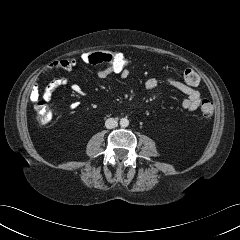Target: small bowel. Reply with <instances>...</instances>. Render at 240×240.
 Returning <instances> with one entry per match:
<instances>
[{"label":"small bowel","instance_id":"small-bowel-1","mask_svg":"<svg viewBox=\"0 0 240 240\" xmlns=\"http://www.w3.org/2000/svg\"><path fill=\"white\" fill-rule=\"evenodd\" d=\"M77 64H78V61L76 58L61 59V60L52 62L49 68L51 70H63V71L69 72L73 70L77 66ZM111 74H119L121 78L125 79L128 77L129 72L128 71L114 72L109 67L100 66V69L98 71L99 78H106ZM68 83H69V80L67 77L59 76L55 80H53L51 83H49L43 89L42 92H40L38 86L35 85L31 91L30 98L34 102L37 101L40 97L44 101L50 102L52 100L54 91L60 86L68 85ZM164 83L170 87H173L181 91L186 95V98L181 103V106L183 109L188 111H194L201 105L202 99L199 91L195 88V86H188L184 84L182 81L174 77L166 78ZM158 85H159L158 80L153 77H150L145 81V87L148 90H153L157 88ZM71 89L74 93L78 95H84L83 89L78 84H72ZM70 107L72 109L77 108L78 102H72L70 104Z\"/></svg>","mask_w":240,"mask_h":240}]
</instances>
